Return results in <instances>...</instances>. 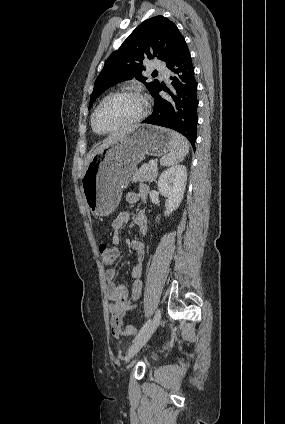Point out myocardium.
I'll return each instance as SVG.
<instances>
[{
    "instance_id": "myocardium-1",
    "label": "myocardium",
    "mask_w": 285,
    "mask_h": 424,
    "mask_svg": "<svg viewBox=\"0 0 285 424\" xmlns=\"http://www.w3.org/2000/svg\"><path fill=\"white\" fill-rule=\"evenodd\" d=\"M121 95H134V96L139 97L142 100V102H143V109H142V111L134 119L128 121L127 123H125V124H123L121 126H118L116 128H112V129H109V130H106V131H100V130H98L96 128V125H95V118H96V115H97L99 109L108 100H110L111 98L117 97V96H121ZM149 108H150V104H149V101H148L147 97L142 92H140L139 90H137V89H123V90H119V91H116V92H113V93H110L109 95H107L97 105V107L94 109V111L92 113L91 125H92V128H93L94 132L97 133V134H99V135H106V134L121 132V131H124V130H126V129H128V128L136 125V124H138L139 122H141L147 116V114L149 112Z\"/></svg>"
}]
</instances>
